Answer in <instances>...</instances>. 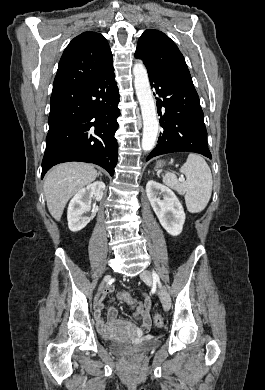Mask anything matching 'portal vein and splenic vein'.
I'll return each instance as SVG.
<instances>
[{
	"label": "portal vein and splenic vein",
	"instance_id": "1",
	"mask_svg": "<svg viewBox=\"0 0 265 390\" xmlns=\"http://www.w3.org/2000/svg\"><path fill=\"white\" fill-rule=\"evenodd\" d=\"M179 180H180L181 182H184V181H185L184 176H180Z\"/></svg>",
	"mask_w": 265,
	"mask_h": 390
}]
</instances>
